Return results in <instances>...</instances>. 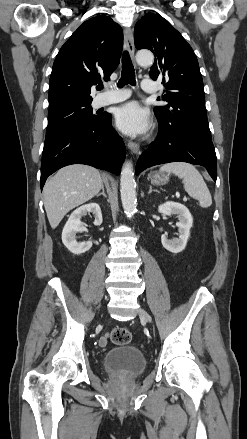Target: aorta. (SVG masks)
I'll return each instance as SVG.
<instances>
[{
  "mask_svg": "<svg viewBox=\"0 0 247 439\" xmlns=\"http://www.w3.org/2000/svg\"><path fill=\"white\" fill-rule=\"evenodd\" d=\"M136 61L140 65H149L154 61V56L150 52H138ZM120 193L124 212L128 217H131L135 213L137 205L136 182L131 162H126L122 167Z\"/></svg>",
  "mask_w": 247,
  "mask_h": 439,
  "instance_id": "1",
  "label": "aorta"
}]
</instances>
